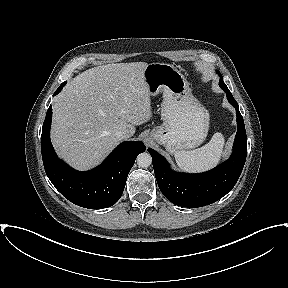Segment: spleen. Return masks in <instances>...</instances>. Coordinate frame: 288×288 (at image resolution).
I'll return each mask as SVG.
<instances>
[{"instance_id":"3e777b00","label":"spleen","mask_w":288,"mask_h":288,"mask_svg":"<svg viewBox=\"0 0 288 288\" xmlns=\"http://www.w3.org/2000/svg\"><path fill=\"white\" fill-rule=\"evenodd\" d=\"M225 139L221 133H215L209 143L192 151L175 152L178 167L186 172L196 173L215 167L222 156Z\"/></svg>"}]
</instances>
